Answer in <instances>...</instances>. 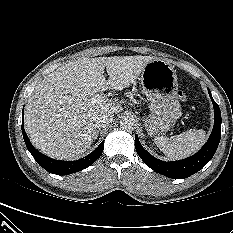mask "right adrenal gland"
Instances as JSON below:
<instances>
[{"mask_svg":"<svg viewBox=\"0 0 233 233\" xmlns=\"http://www.w3.org/2000/svg\"><path fill=\"white\" fill-rule=\"evenodd\" d=\"M98 134H99V131L97 130V131L95 132V137H94V139H97Z\"/></svg>","mask_w":233,"mask_h":233,"instance_id":"2a0ac1e0","label":"right adrenal gland"}]
</instances>
